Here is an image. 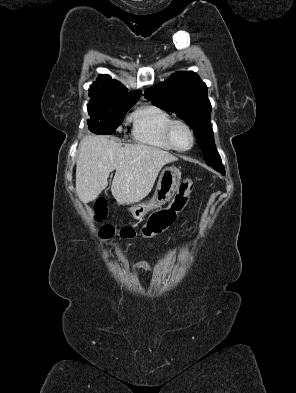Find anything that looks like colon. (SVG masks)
I'll use <instances>...</instances> for the list:
<instances>
[{
  "label": "colon",
  "mask_w": 296,
  "mask_h": 393,
  "mask_svg": "<svg viewBox=\"0 0 296 393\" xmlns=\"http://www.w3.org/2000/svg\"><path fill=\"white\" fill-rule=\"evenodd\" d=\"M193 189L194 182L190 179H185L181 182L179 192L169 206L153 213L148 218L147 222L140 228L127 226L116 230L113 226L105 225L100 228L99 234L102 238H111L116 233L124 239L154 237L165 231L174 223L178 213L187 203ZM106 212V204L104 202H99L95 210L96 219L102 220Z\"/></svg>",
  "instance_id": "5ec220e1"
}]
</instances>
